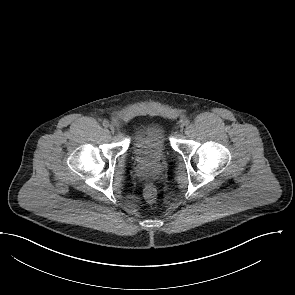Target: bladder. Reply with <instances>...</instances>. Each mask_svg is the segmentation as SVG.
I'll list each match as a JSON object with an SVG mask.
<instances>
[{
	"label": "bladder",
	"mask_w": 295,
	"mask_h": 295,
	"mask_svg": "<svg viewBox=\"0 0 295 295\" xmlns=\"http://www.w3.org/2000/svg\"><path fill=\"white\" fill-rule=\"evenodd\" d=\"M166 149V129L158 121L145 122L131 136V152L138 163H156L164 157Z\"/></svg>",
	"instance_id": "bladder-1"
}]
</instances>
